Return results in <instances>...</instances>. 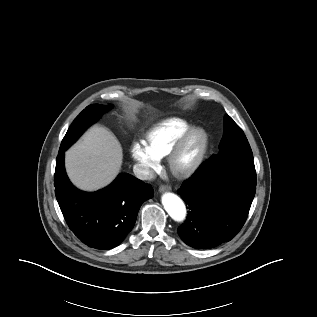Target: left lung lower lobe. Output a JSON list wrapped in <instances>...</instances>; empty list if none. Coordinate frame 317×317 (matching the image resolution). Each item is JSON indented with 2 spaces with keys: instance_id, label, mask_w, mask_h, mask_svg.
<instances>
[{
  "instance_id": "obj_1",
  "label": "left lung lower lobe",
  "mask_w": 317,
  "mask_h": 317,
  "mask_svg": "<svg viewBox=\"0 0 317 317\" xmlns=\"http://www.w3.org/2000/svg\"><path fill=\"white\" fill-rule=\"evenodd\" d=\"M255 191L253 158L212 155L178 190L191 210L178 228L180 238L196 249L232 240L248 217Z\"/></svg>"
}]
</instances>
